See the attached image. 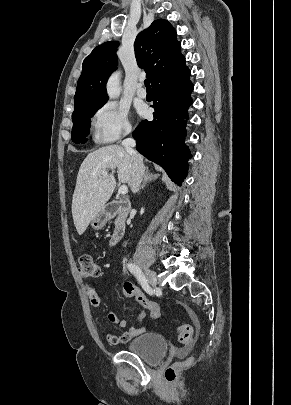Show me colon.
<instances>
[{"instance_id": "colon-1", "label": "colon", "mask_w": 291, "mask_h": 405, "mask_svg": "<svg viewBox=\"0 0 291 405\" xmlns=\"http://www.w3.org/2000/svg\"><path fill=\"white\" fill-rule=\"evenodd\" d=\"M78 272L84 278H96L101 274L99 264L90 254H82L78 259ZM127 297L135 298L145 309H147L153 318H160L161 309L158 303L148 299L135 285L126 282L123 288ZM178 337L183 344H189L193 341V327L189 324L180 325L177 328ZM179 364H174L166 369L165 379L168 382H174L177 377Z\"/></svg>"}]
</instances>
